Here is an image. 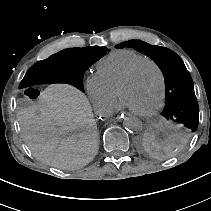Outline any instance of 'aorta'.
I'll return each instance as SVG.
<instances>
[{"instance_id":"aorta-1","label":"aorta","mask_w":211,"mask_h":211,"mask_svg":"<svg viewBox=\"0 0 211 211\" xmlns=\"http://www.w3.org/2000/svg\"><path fill=\"white\" fill-rule=\"evenodd\" d=\"M123 124L125 129L131 133H139L143 128L141 120L135 116L126 117Z\"/></svg>"}]
</instances>
